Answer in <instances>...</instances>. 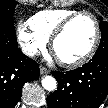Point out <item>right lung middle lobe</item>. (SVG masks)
Segmentation results:
<instances>
[{
    "label": "right lung middle lobe",
    "instance_id": "1",
    "mask_svg": "<svg viewBox=\"0 0 108 108\" xmlns=\"http://www.w3.org/2000/svg\"><path fill=\"white\" fill-rule=\"evenodd\" d=\"M17 4L14 0H0V26L14 28L13 14Z\"/></svg>",
    "mask_w": 108,
    "mask_h": 108
}]
</instances>
